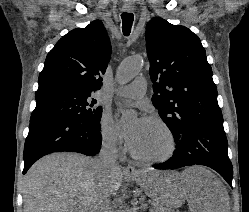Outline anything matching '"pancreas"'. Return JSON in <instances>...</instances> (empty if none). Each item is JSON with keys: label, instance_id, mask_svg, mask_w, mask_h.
<instances>
[{"label": "pancreas", "instance_id": "cf45deb5", "mask_svg": "<svg viewBox=\"0 0 249 212\" xmlns=\"http://www.w3.org/2000/svg\"><path fill=\"white\" fill-rule=\"evenodd\" d=\"M150 212H161V210H158V208H153V210H150Z\"/></svg>", "mask_w": 249, "mask_h": 212}]
</instances>
